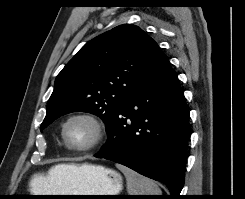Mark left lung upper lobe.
Here are the masks:
<instances>
[{
    "mask_svg": "<svg viewBox=\"0 0 245 199\" xmlns=\"http://www.w3.org/2000/svg\"><path fill=\"white\" fill-rule=\"evenodd\" d=\"M163 54L150 36L131 24L95 37L57 75L40 130L74 111L98 115L107 126L121 103L150 76Z\"/></svg>",
    "mask_w": 245,
    "mask_h": 199,
    "instance_id": "1",
    "label": "left lung upper lobe"
}]
</instances>
